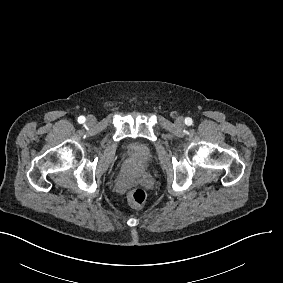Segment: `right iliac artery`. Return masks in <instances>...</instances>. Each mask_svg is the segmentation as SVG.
Masks as SVG:
<instances>
[{
    "mask_svg": "<svg viewBox=\"0 0 283 283\" xmlns=\"http://www.w3.org/2000/svg\"><path fill=\"white\" fill-rule=\"evenodd\" d=\"M85 117L84 116H80V117H78V122L80 123V124H82V123H84L85 122Z\"/></svg>",
    "mask_w": 283,
    "mask_h": 283,
    "instance_id": "right-iliac-artery-1",
    "label": "right iliac artery"
}]
</instances>
